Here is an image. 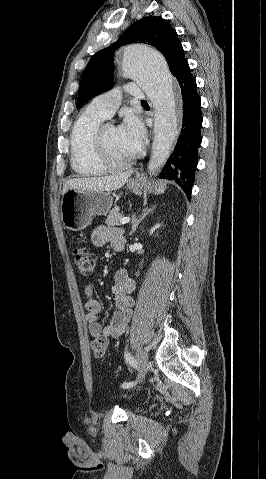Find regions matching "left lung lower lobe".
Instances as JSON below:
<instances>
[{"label":"left lung lower lobe","instance_id":"left-lung-lower-lobe-1","mask_svg":"<svg viewBox=\"0 0 266 479\" xmlns=\"http://www.w3.org/2000/svg\"><path fill=\"white\" fill-rule=\"evenodd\" d=\"M174 76L182 92L183 128L173 153L160 173V178L175 181L190 200L195 168L198 163V147L201 143V101L196 91V80L191 74L187 61L181 65Z\"/></svg>","mask_w":266,"mask_h":479}]
</instances>
